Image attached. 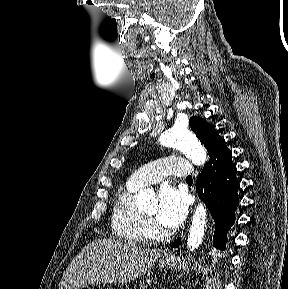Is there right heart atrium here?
Wrapping results in <instances>:
<instances>
[{"instance_id":"obj_1","label":"right heart atrium","mask_w":288,"mask_h":289,"mask_svg":"<svg viewBox=\"0 0 288 289\" xmlns=\"http://www.w3.org/2000/svg\"><path fill=\"white\" fill-rule=\"evenodd\" d=\"M156 227L154 225V223L150 220V219H147L146 220V231H147V234L152 236L156 233Z\"/></svg>"}]
</instances>
